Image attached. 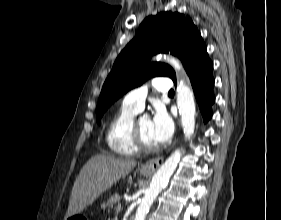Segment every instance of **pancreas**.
I'll use <instances>...</instances> for the list:
<instances>
[{"mask_svg": "<svg viewBox=\"0 0 281 220\" xmlns=\"http://www.w3.org/2000/svg\"><path fill=\"white\" fill-rule=\"evenodd\" d=\"M120 202V196L118 194L111 196L109 199H107L106 202L102 204L103 208H108V210L112 209L114 204Z\"/></svg>", "mask_w": 281, "mask_h": 220, "instance_id": "1", "label": "pancreas"}]
</instances>
